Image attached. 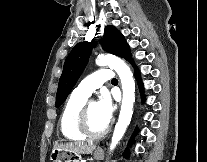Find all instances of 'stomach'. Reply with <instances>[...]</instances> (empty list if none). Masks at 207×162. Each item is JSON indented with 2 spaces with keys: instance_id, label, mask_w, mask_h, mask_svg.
<instances>
[{
  "instance_id": "stomach-1",
  "label": "stomach",
  "mask_w": 207,
  "mask_h": 162,
  "mask_svg": "<svg viewBox=\"0 0 207 162\" xmlns=\"http://www.w3.org/2000/svg\"><path fill=\"white\" fill-rule=\"evenodd\" d=\"M94 158L99 159L102 157V153L100 151L94 152ZM51 162H80L81 157L79 155H75L69 151L53 149L50 154Z\"/></svg>"
}]
</instances>
